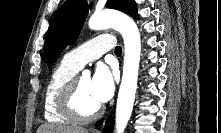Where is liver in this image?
<instances>
[{
	"label": "liver",
	"mask_w": 221,
	"mask_h": 133,
	"mask_svg": "<svg viewBox=\"0 0 221 133\" xmlns=\"http://www.w3.org/2000/svg\"><path fill=\"white\" fill-rule=\"evenodd\" d=\"M37 133H89L87 129L68 127L62 125H41Z\"/></svg>",
	"instance_id": "obj_1"
}]
</instances>
